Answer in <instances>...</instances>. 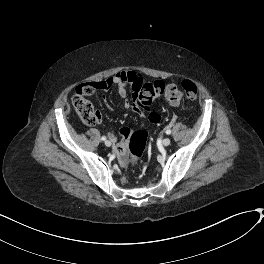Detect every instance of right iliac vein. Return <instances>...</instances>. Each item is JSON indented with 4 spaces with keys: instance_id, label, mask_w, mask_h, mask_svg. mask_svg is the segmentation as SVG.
<instances>
[{
    "instance_id": "1",
    "label": "right iliac vein",
    "mask_w": 264,
    "mask_h": 264,
    "mask_svg": "<svg viewBox=\"0 0 264 264\" xmlns=\"http://www.w3.org/2000/svg\"><path fill=\"white\" fill-rule=\"evenodd\" d=\"M105 145H106L107 147H110V146H111V142H110L109 140H107V141H105Z\"/></svg>"
}]
</instances>
